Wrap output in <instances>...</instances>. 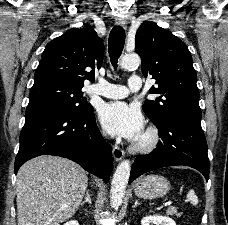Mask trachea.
Wrapping results in <instances>:
<instances>
[{
	"mask_svg": "<svg viewBox=\"0 0 228 225\" xmlns=\"http://www.w3.org/2000/svg\"><path fill=\"white\" fill-rule=\"evenodd\" d=\"M124 44H125V30L121 26L116 25L112 28L109 34V40H108V45H109L108 52H109L112 65L115 69L117 67L118 59L122 54Z\"/></svg>",
	"mask_w": 228,
	"mask_h": 225,
	"instance_id": "3493384b",
	"label": "trachea"
}]
</instances>
